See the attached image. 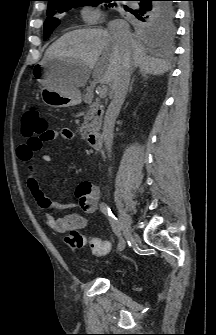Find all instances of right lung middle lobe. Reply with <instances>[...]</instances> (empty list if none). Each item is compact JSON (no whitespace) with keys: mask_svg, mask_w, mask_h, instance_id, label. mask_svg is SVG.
Returning a JSON list of instances; mask_svg holds the SVG:
<instances>
[{"mask_svg":"<svg viewBox=\"0 0 216 335\" xmlns=\"http://www.w3.org/2000/svg\"><path fill=\"white\" fill-rule=\"evenodd\" d=\"M117 0H64L59 2H54L48 4L47 18L44 23V40H46L56 26L59 25L60 20L57 17L59 13L66 12L73 7H79L84 5L96 6L103 2L109 3L108 7H113L116 5ZM161 8L164 9H173L171 2H163L160 4ZM129 12L127 15L132 19L143 31L152 34H164L172 35L174 32L173 24L162 23L158 19L151 20L147 23H144L138 19V14L128 7L125 9Z\"/></svg>","mask_w":216,"mask_h":335,"instance_id":"1","label":"right lung middle lobe"}]
</instances>
